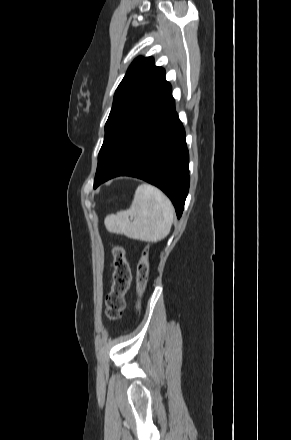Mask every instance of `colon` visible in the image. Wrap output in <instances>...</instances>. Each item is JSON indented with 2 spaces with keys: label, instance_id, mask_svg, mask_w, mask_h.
<instances>
[{
  "label": "colon",
  "instance_id": "1",
  "mask_svg": "<svg viewBox=\"0 0 291 440\" xmlns=\"http://www.w3.org/2000/svg\"><path fill=\"white\" fill-rule=\"evenodd\" d=\"M148 250L149 247L146 245L137 267V289L139 293H141L147 285L149 273ZM112 254L114 265L113 286L105 300L106 316L109 320H115L120 317L124 307V294L130 282V267L125 257L124 248L121 245H115Z\"/></svg>",
  "mask_w": 291,
  "mask_h": 440
}]
</instances>
